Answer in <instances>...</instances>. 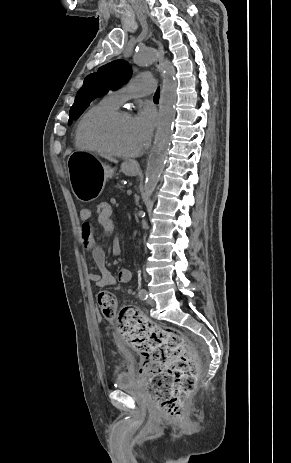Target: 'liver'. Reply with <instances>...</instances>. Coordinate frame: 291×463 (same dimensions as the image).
<instances>
[{
	"label": "liver",
	"mask_w": 291,
	"mask_h": 463,
	"mask_svg": "<svg viewBox=\"0 0 291 463\" xmlns=\"http://www.w3.org/2000/svg\"><path fill=\"white\" fill-rule=\"evenodd\" d=\"M108 160L114 162V163H117V161L115 159H113L112 157L110 156H105Z\"/></svg>",
	"instance_id": "1"
}]
</instances>
